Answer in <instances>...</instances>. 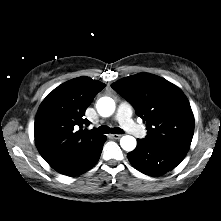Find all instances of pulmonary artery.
Listing matches in <instances>:
<instances>
[{
	"label": "pulmonary artery",
	"mask_w": 221,
	"mask_h": 221,
	"mask_svg": "<svg viewBox=\"0 0 221 221\" xmlns=\"http://www.w3.org/2000/svg\"><path fill=\"white\" fill-rule=\"evenodd\" d=\"M131 115L132 109L130 105L127 103H121L118 107L115 118L123 129L135 137L141 138L145 135V132L132 120Z\"/></svg>",
	"instance_id": "obj_1"
}]
</instances>
